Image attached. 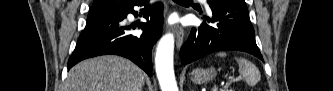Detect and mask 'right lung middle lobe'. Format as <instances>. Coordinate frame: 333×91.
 Instances as JSON below:
<instances>
[{
    "label": "right lung middle lobe",
    "instance_id": "right-lung-middle-lobe-1",
    "mask_svg": "<svg viewBox=\"0 0 333 91\" xmlns=\"http://www.w3.org/2000/svg\"><path fill=\"white\" fill-rule=\"evenodd\" d=\"M121 5V3H113L112 4V6L114 7V6H120ZM94 8H98L99 6H93Z\"/></svg>",
    "mask_w": 333,
    "mask_h": 91
}]
</instances>
